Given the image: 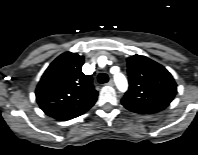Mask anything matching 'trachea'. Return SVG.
I'll list each match as a JSON object with an SVG mask.
<instances>
[{
	"instance_id": "obj_1",
	"label": "trachea",
	"mask_w": 198,
	"mask_h": 155,
	"mask_svg": "<svg viewBox=\"0 0 198 155\" xmlns=\"http://www.w3.org/2000/svg\"><path fill=\"white\" fill-rule=\"evenodd\" d=\"M109 80V77L107 74L105 73H100L98 75V82L101 83V84H104V83H107Z\"/></svg>"
}]
</instances>
